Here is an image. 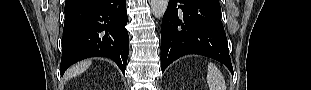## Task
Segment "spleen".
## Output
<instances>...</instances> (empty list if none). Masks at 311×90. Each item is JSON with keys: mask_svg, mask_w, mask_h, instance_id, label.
I'll return each mask as SVG.
<instances>
[{"mask_svg": "<svg viewBox=\"0 0 311 90\" xmlns=\"http://www.w3.org/2000/svg\"><path fill=\"white\" fill-rule=\"evenodd\" d=\"M207 83L210 90H226L224 77L213 63L208 64Z\"/></svg>", "mask_w": 311, "mask_h": 90, "instance_id": "spleen-1", "label": "spleen"}]
</instances>
